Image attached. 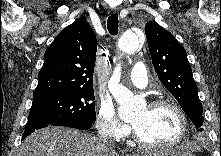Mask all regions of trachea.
Segmentation results:
<instances>
[{
  "label": "trachea",
  "mask_w": 221,
  "mask_h": 156,
  "mask_svg": "<svg viewBox=\"0 0 221 156\" xmlns=\"http://www.w3.org/2000/svg\"><path fill=\"white\" fill-rule=\"evenodd\" d=\"M107 29L110 34L117 35L118 33V15L112 14L107 20Z\"/></svg>",
  "instance_id": "obj_1"
}]
</instances>
